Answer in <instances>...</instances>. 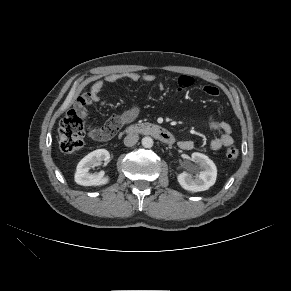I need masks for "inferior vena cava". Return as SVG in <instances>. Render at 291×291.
I'll list each match as a JSON object with an SVG mask.
<instances>
[{
  "instance_id": "1",
  "label": "inferior vena cava",
  "mask_w": 291,
  "mask_h": 291,
  "mask_svg": "<svg viewBox=\"0 0 291 291\" xmlns=\"http://www.w3.org/2000/svg\"><path fill=\"white\" fill-rule=\"evenodd\" d=\"M138 140V134H129L124 138V144L125 146L132 147L138 142Z\"/></svg>"
}]
</instances>
